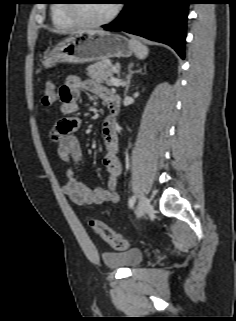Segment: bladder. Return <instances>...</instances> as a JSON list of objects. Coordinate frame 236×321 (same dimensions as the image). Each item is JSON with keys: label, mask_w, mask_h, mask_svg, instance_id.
<instances>
[{"label": "bladder", "mask_w": 236, "mask_h": 321, "mask_svg": "<svg viewBox=\"0 0 236 321\" xmlns=\"http://www.w3.org/2000/svg\"><path fill=\"white\" fill-rule=\"evenodd\" d=\"M102 259L105 265L110 269H132L142 263L144 259V252L140 249H132L112 253H103Z\"/></svg>", "instance_id": "31cf9c89"}]
</instances>
